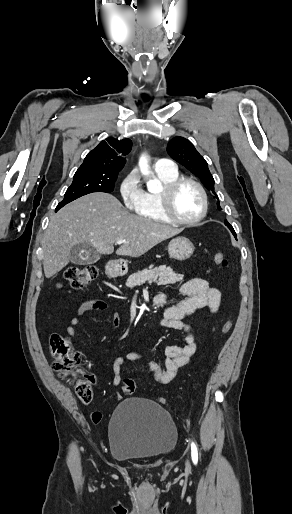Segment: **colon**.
<instances>
[{"instance_id":"5ec220e1","label":"colon","mask_w":292,"mask_h":514,"mask_svg":"<svg viewBox=\"0 0 292 514\" xmlns=\"http://www.w3.org/2000/svg\"><path fill=\"white\" fill-rule=\"evenodd\" d=\"M213 262L220 267L228 265L227 257L222 252H216L213 256ZM99 271L95 266L71 267L65 273L67 289L70 291L79 290L88 286L98 277ZM232 321L228 320L221 326V333L226 335L232 328ZM50 352L53 358L52 366L54 371L60 377H69L81 363L82 357L78 350L70 345L67 337L60 334H53L49 341ZM75 393L83 404H89L93 399V390L90 385L89 377L84 376L75 382ZM122 392L131 396L136 389V383L132 379H126L121 385ZM159 403L165 404V400L158 399ZM93 422L101 419L99 411H93L90 415Z\"/></svg>"}]
</instances>
